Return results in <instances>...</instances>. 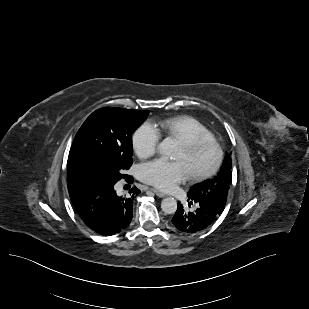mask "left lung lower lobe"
<instances>
[{
  "mask_svg": "<svg viewBox=\"0 0 309 309\" xmlns=\"http://www.w3.org/2000/svg\"><path fill=\"white\" fill-rule=\"evenodd\" d=\"M188 197V200L196 203L197 208L186 211L182 204H178V209L172 218L174 227L183 234H197L208 229L219 218L225 207V204L214 201Z\"/></svg>",
  "mask_w": 309,
  "mask_h": 309,
  "instance_id": "1",
  "label": "left lung lower lobe"
}]
</instances>
